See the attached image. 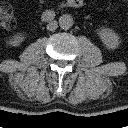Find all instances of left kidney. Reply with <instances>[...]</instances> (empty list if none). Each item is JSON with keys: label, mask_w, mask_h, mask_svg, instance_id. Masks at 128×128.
Segmentation results:
<instances>
[{"label": "left kidney", "mask_w": 128, "mask_h": 128, "mask_svg": "<svg viewBox=\"0 0 128 128\" xmlns=\"http://www.w3.org/2000/svg\"><path fill=\"white\" fill-rule=\"evenodd\" d=\"M98 36L100 37L102 43L105 45L108 49H116L119 47L121 41L118 34L110 29V28H103L98 31Z\"/></svg>", "instance_id": "5707ae66"}]
</instances>
